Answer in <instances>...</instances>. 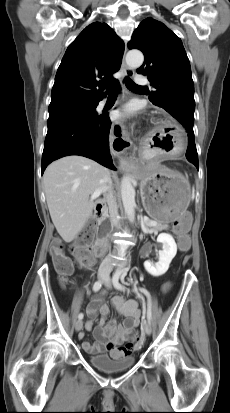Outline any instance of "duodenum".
Segmentation results:
<instances>
[{
    "instance_id": "1",
    "label": "duodenum",
    "mask_w": 230,
    "mask_h": 413,
    "mask_svg": "<svg viewBox=\"0 0 230 413\" xmlns=\"http://www.w3.org/2000/svg\"><path fill=\"white\" fill-rule=\"evenodd\" d=\"M95 212H96V218L99 221L100 224V230H99V238L97 240L96 245L93 247V254L95 256H98L101 254L102 252V248H103V242H104V236L106 233V229H107V212L105 209V203L104 200L99 199L96 202V206H95Z\"/></svg>"
}]
</instances>
